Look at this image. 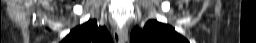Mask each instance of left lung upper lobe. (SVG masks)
<instances>
[{
  "mask_svg": "<svg viewBox=\"0 0 256 43\" xmlns=\"http://www.w3.org/2000/svg\"><path fill=\"white\" fill-rule=\"evenodd\" d=\"M131 43H188L171 26L149 20L143 29L136 27L130 36Z\"/></svg>",
  "mask_w": 256,
  "mask_h": 43,
  "instance_id": "5c2ea615",
  "label": "left lung upper lobe"
}]
</instances>
